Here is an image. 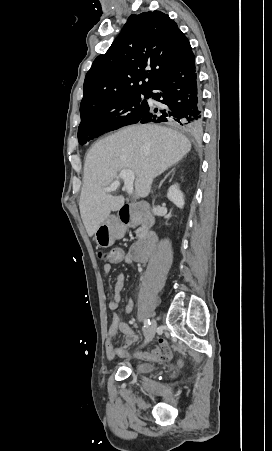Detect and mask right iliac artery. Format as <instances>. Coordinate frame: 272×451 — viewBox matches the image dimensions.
I'll return each mask as SVG.
<instances>
[{
  "mask_svg": "<svg viewBox=\"0 0 272 451\" xmlns=\"http://www.w3.org/2000/svg\"><path fill=\"white\" fill-rule=\"evenodd\" d=\"M150 325H151L150 320H149V319H145V320H144V330L147 329V328H149Z\"/></svg>",
  "mask_w": 272,
  "mask_h": 451,
  "instance_id": "1",
  "label": "right iliac artery"
}]
</instances>
